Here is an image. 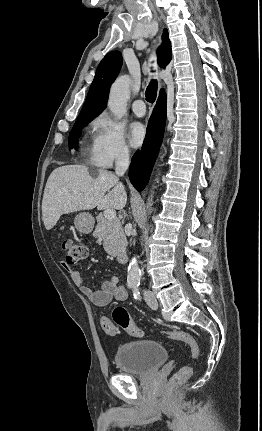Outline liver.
Returning <instances> with one entry per match:
<instances>
[{
	"label": "liver",
	"mask_w": 262,
	"mask_h": 431,
	"mask_svg": "<svg viewBox=\"0 0 262 431\" xmlns=\"http://www.w3.org/2000/svg\"><path fill=\"white\" fill-rule=\"evenodd\" d=\"M127 193L119 178L105 169L94 177L88 167L65 165L49 176L42 200V217L46 230L52 229L61 215L81 210H121Z\"/></svg>",
	"instance_id": "liver-1"
}]
</instances>
